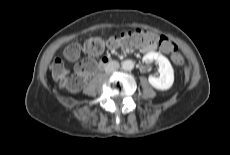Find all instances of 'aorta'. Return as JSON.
<instances>
[{"instance_id": "aorta-1", "label": "aorta", "mask_w": 230, "mask_h": 155, "mask_svg": "<svg viewBox=\"0 0 230 155\" xmlns=\"http://www.w3.org/2000/svg\"><path fill=\"white\" fill-rule=\"evenodd\" d=\"M122 68L126 71H131L134 68V62L132 60H125L122 63Z\"/></svg>"}]
</instances>
